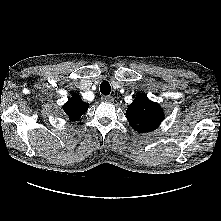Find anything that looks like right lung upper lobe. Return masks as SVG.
<instances>
[{"label": "right lung upper lobe", "mask_w": 221, "mask_h": 221, "mask_svg": "<svg viewBox=\"0 0 221 221\" xmlns=\"http://www.w3.org/2000/svg\"><path fill=\"white\" fill-rule=\"evenodd\" d=\"M88 107V103L83 102L79 95L73 94L64 104L63 111L69 117L70 121H75L81 118Z\"/></svg>", "instance_id": "right-lung-upper-lobe-1"}]
</instances>
